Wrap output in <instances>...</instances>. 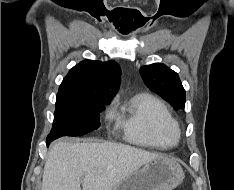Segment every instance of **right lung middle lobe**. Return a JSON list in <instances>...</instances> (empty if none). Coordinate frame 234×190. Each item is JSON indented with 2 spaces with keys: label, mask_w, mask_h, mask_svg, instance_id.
Listing matches in <instances>:
<instances>
[{
  "label": "right lung middle lobe",
  "mask_w": 234,
  "mask_h": 190,
  "mask_svg": "<svg viewBox=\"0 0 234 190\" xmlns=\"http://www.w3.org/2000/svg\"><path fill=\"white\" fill-rule=\"evenodd\" d=\"M108 103L57 94L53 127L47 140L82 136L98 129L100 112Z\"/></svg>",
  "instance_id": "1"
}]
</instances>
